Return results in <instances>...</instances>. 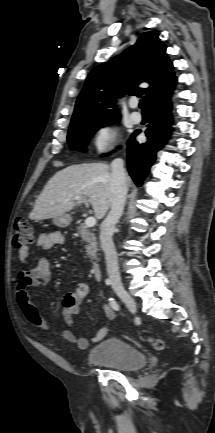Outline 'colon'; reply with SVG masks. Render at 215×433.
<instances>
[{"label": "colon", "mask_w": 215, "mask_h": 433, "mask_svg": "<svg viewBox=\"0 0 215 433\" xmlns=\"http://www.w3.org/2000/svg\"><path fill=\"white\" fill-rule=\"evenodd\" d=\"M33 241V228L31 223L25 217H18L14 222V237L13 246L21 249ZM150 344L156 350L164 349V341L162 339H150Z\"/></svg>", "instance_id": "obj_1"}]
</instances>
